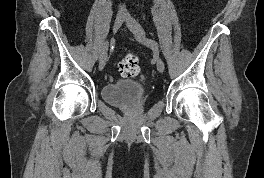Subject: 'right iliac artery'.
Masks as SVG:
<instances>
[{
	"mask_svg": "<svg viewBox=\"0 0 264 178\" xmlns=\"http://www.w3.org/2000/svg\"><path fill=\"white\" fill-rule=\"evenodd\" d=\"M108 46H109V43L108 42H105L104 43V46H103V48H102V50H101V53H100V60L106 55V53H107V50H108Z\"/></svg>",
	"mask_w": 264,
	"mask_h": 178,
	"instance_id": "1",
	"label": "right iliac artery"
}]
</instances>
